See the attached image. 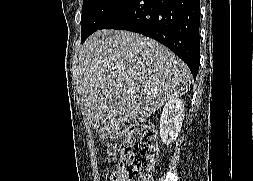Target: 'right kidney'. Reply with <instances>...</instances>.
<instances>
[{
	"label": "right kidney",
	"instance_id": "obj_1",
	"mask_svg": "<svg viewBox=\"0 0 253 181\" xmlns=\"http://www.w3.org/2000/svg\"><path fill=\"white\" fill-rule=\"evenodd\" d=\"M184 117V102L171 98L163 108L160 119V137L165 145L173 143L181 130Z\"/></svg>",
	"mask_w": 253,
	"mask_h": 181
}]
</instances>
